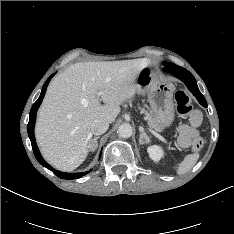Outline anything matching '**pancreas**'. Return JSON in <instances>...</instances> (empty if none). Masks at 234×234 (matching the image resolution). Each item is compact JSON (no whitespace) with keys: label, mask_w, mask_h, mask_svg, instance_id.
<instances>
[{"label":"pancreas","mask_w":234,"mask_h":234,"mask_svg":"<svg viewBox=\"0 0 234 234\" xmlns=\"http://www.w3.org/2000/svg\"><path fill=\"white\" fill-rule=\"evenodd\" d=\"M141 109V108H140ZM142 113H145L146 119L148 121V126L158 132L163 131V126L158 122L156 117L152 114V112L145 111L143 108L141 109Z\"/></svg>","instance_id":"cf45deb5"}]
</instances>
